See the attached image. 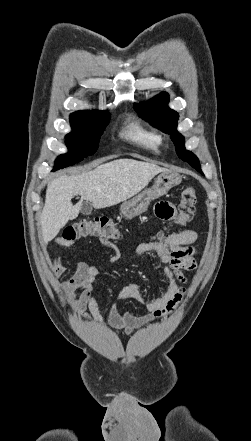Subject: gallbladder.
Segmentation results:
<instances>
[{
	"mask_svg": "<svg viewBox=\"0 0 251 441\" xmlns=\"http://www.w3.org/2000/svg\"><path fill=\"white\" fill-rule=\"evenodd\" d=\"M92 210H93V206H92L91 202H89V201L81 202L80 212L83 215H90L92 213Z\"/></svg>",
	"mask_w": 251,
	"mask_h": 441,
	"instance_id": "bac80fb5",
	"label": "gallbladder"
}]
</instances>
